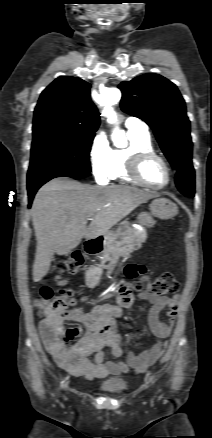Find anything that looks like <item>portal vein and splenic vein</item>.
Returning a JSON list of instances; mask_svg holds the SVG:
<instances>
[{
	"label": "portal vein and splenic vein",
	"mask_w": 212,
	"mask_h": 438,
	"mask_svg": "<svg viewBox=\"0 0 212 438\" xmlns=\"http://www.w3.org/2000/svg\"><path fill=\"white\" fill-rule=\"evenodd\" d=\"M88 220H93V217H89Z\"/></svg>",
	"instance_id": "18ae733b"
}]
</instances>
